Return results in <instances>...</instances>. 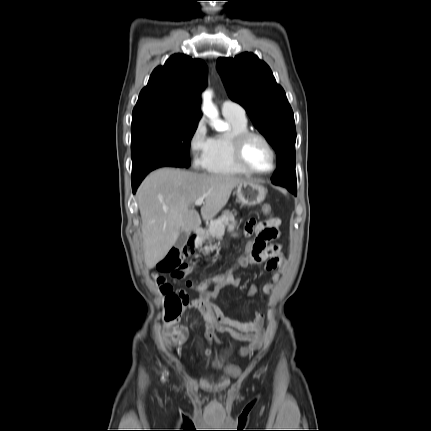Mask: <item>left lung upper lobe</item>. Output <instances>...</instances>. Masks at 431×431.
Listing matches in <instances>:
<instances>
[{"label": "left lung upper lobe", "instance_id": "obj_1", "mask_svg": "<svg viewBox=\"0 0 431 431\" xmlns=\"http://www.w3.org/2000/svg\"><path fill=\"white\" fill-rule=\"evenodd\" d=\"M217 69L229 97L245 108L255 127L277 153L278 170L272 183L296 188L293 112L272 71L265 62L248 52L235 58H219Z\"/></svg>", "mask_w": 431, "mask_h": 431}]
</instances>
